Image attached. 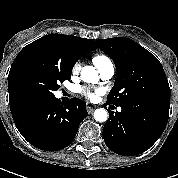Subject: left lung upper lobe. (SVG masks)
<instances>
[{"mask_svg":"<svg viewBox=\"0 0 178 178\" xmlns=\"http://www.w3.org/2000/svg\"><path fill=\"white\" fill-rule=\"evenodd\" d=\"M96 43L117 69L107 102L168 117L170 88L159 60L129 38L97 39Z\"/></svg>","mask_w":178,"mask_h":178,"instance_id":"1","label":"left lung upper lobe"}]
</instances>
